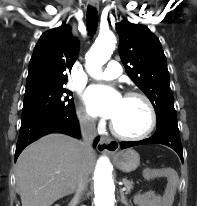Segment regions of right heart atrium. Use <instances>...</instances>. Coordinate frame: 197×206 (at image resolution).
I'll use <instances>...</instances> for the list:
<instances>
[{"instance_id": "1", "label": "right heart atrium", "mask_w": 197, "mask_h": 206, "mask_svg": "<svg viewBox=\"0 0 197 206\" xmlns=\"http://www.w3.org/2000/svg\"><path fill=\"white\" fill-rule=\"evenodd\" d=\"M78 118L81 125L87 129H92L95 126L94 117L85 108H80L78 110Z\"/></svg>"}]
</instances>
